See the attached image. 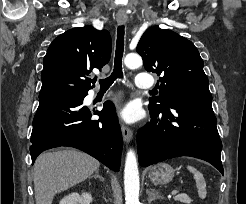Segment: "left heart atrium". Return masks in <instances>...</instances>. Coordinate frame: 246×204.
Listing matches in <instances>:
<instances>
[{"instance_id":"1","label":"left heart atrium","mask_w":246,"mask_h":204,"mask_svg":"<svg viewBox=\"0 0 246 204\" xmlns=\"http://www.w3.org/2000/svg\"><path fill=\"white\" fill-rule=\"evenodd\" d=\"M121 119L128 123H132L138 119V111L135 107L128 105L124 107L119 113Z\"/></svg>"}]
</instances>
